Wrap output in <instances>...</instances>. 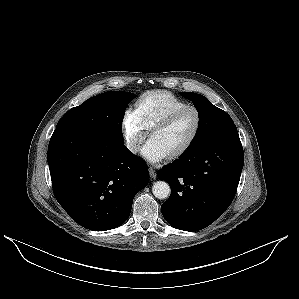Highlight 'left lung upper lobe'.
I'll use <instances>...</instances> for the list:
<instances>
[{"label": "left lung upper lobe", "mask_w": 299, "mask_h": 299, "mask_svg": "<svg viewBox=\"0 0 299 299\" xmlns=\"http://www.w3.org/2000/svg\"><path fill=\"white\" fill-rule=\"evenodd\" d=\"M180 94L193 102L200 119L196 135L186 151L203 146L216 134L235 125L225 111L214 106L206 97L193 92H180Z\"/></svg>", "instance_id": "5c2ea615"}]
</instances>
